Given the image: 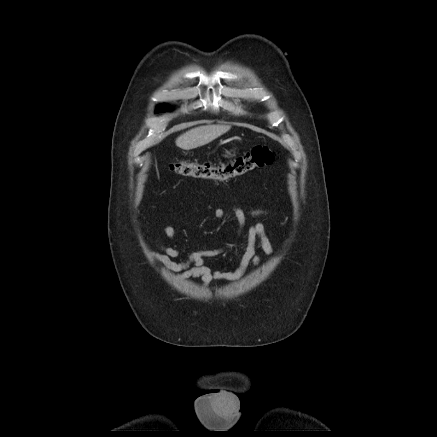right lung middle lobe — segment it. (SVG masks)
<instances>
[{
  "label": "right lung middle lobe",
  "instance_id": "1",
  "mask_svg": "<svg viewBox=\"0 0 437 437\" xmlns=\"http://www.w3.org/2000/svg\"><path fill=\"white\" fill-rule=\"evenodd\" d=\"M168 110V106L167 105H159L158 107H157V109H156V112L157 113H159V112H165V111H167Z\"/></svg>",
  "mask_w": 437,
  "mask_h": 437
}]
</instances>
